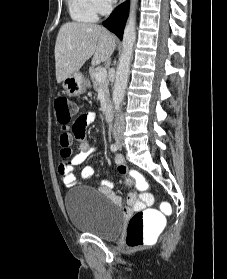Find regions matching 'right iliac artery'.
Returning <instances> with one entry per match:
<instances>
[{"label":"right iliac artery","instance_id":"obj_1","mask_svg":"<svg viewBox=\"0 0 227 279\" xmlns=\"http://www.w3.org/2000/svg\"><path fill=\"white\" fill-rule=\"evenodd\" d=\"M110 149H111V151L115 152V151H117L118 147L115 143H113V144H111Z\"/></svg>","mask_w":227,"mask_h":279}]
</instances>
